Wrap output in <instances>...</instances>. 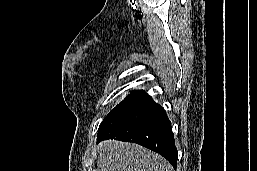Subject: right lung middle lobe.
I'll use <instances>...</instances> for the list:
<instances>
[{
    "instance_id": "1",
    "label": "right lung middle lobe",
    "mask_w": 257,
    "mask_h": 171,
    "mask_svg": "<svg viewBox=\"0 0 257 171\" xmlns=\"http://www.w3.org/2000/svg\"><path fill=\"white\" fill-rule=\"evenodd\" d=\"M143 92L140 91H133L130 95H128L121 103H119L111 112L104 118L101 125L105 124L110 118H112L118 111L128 105L131 101L139 97ZM100 125V126H101Z\"/></svg>"
}]
</instances>
